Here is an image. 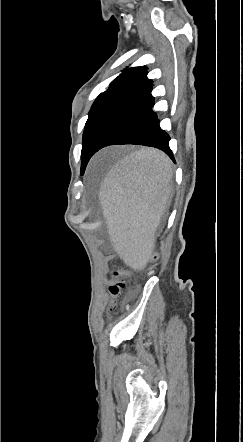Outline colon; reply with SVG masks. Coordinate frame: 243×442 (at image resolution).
<instances>
[{
    "mask_svg": "<svg viewBox=\"0 0 243 442\" xmlns=\"http://www.w3.org/2000/svg\"><path fill=\"white\" fill-rule=\"evenodd\" d=\"M159 253H163L165 248L159 246L157 248ZM157 251L149 255L144 261V264L130 265L129 263H120L119 266H113L109 269L111 273V281L108 287L110 301L108 305V313L112 312L118 303V299L123 298V291L127 284V279L132 278L133 274H139L142 269L151 271L154 268L153 263L160 261V256Z\"/></svg>",
    "mask_w": 243,
    "mask_h": 442,
    "instance_id": "colon-1",
    "label": "colon"
}]
</instances>
